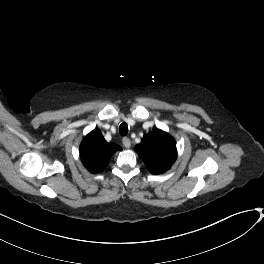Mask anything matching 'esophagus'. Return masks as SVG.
Listing matches in <instances>:
<instances>
[{
	"label": "esophagus",
	"instance_id": "34e87169",
	"mask_svg": "<svg viewBox=\"0 0 264 264\" xmlns=\"http://www.w3.org/2000/svg\"><path fill=\"white\" fill-rule=\"evenodd\" d=\"M122 143H123V145H124L126 148H130V146H131V141H130V139H129L128 137H124V138L122 139Z\"/></svg>",
	"mask_w": 264,
	"mask_h": 264
}]
</instances>
